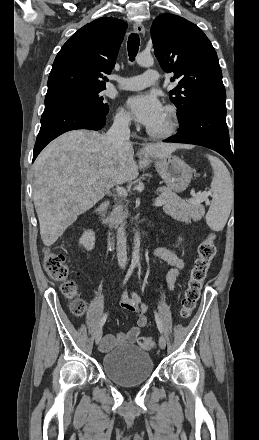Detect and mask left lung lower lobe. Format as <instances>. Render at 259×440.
I'll return each instance as SVG.
<instances>
[{"mask_svg": "<svg viewBox=\"0 0 259 440\" xmlns=\"http://www.w3.org/2000/svg\"><path fill=\"white\" fill-rule=\"evenodd\" d=\"M179 123L178 133L164 142L204 146L220 153L231 165L233 164L225 106L212 102L201 103Z\"/></svg>", "mask_w": 259, "mask_h": 440, "instance_id": "0a47b994", "label": "left lung lower lobe"}]
</instances>
